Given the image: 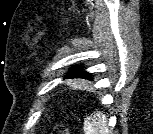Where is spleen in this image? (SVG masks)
Returning a JSON list of instances; mask_svg holds the SVG:
<instances>
[{
  "label": "spleen",
  "instance_id": "spleen-1",
  "mask_svg": "<svg viewBox=\"0 0 153 134\" xmlns=\"http://www.w3.org/2000/svg\"><path fill=\"white\" fill-rule=\"evenodd\" d=\"M83 129L85 134H110L106 116L100 111L85 119Z\"/></svg>",
  "mask_w": 153,
  "mask_h": 134
}]
</instances>
